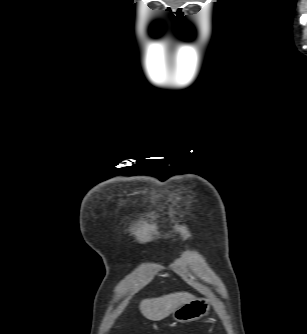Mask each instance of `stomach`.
Masks as SVG:
<instances>
[{
  "mask_svg": "<svg viewBox=\"0 0 307 334\" xmlns=\"http://www.w3.org/2000/svg\"><path fill=\"white\" fill-rule=\"evenodd\" d=\"M209 309L210 306L206 298H195L175 309L172 312V317L181 323L196 321L207 315Z\"/></svg>",
  "mask_w": 307,
  "mask_h": 334,
  "instance_id": "1",
  "label": "stomach"
}]
</instances>
